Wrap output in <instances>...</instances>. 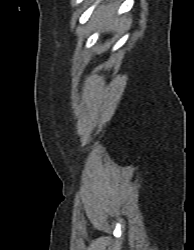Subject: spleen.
I'll return each mask as SVG.
<instances>
[{
    "instance_id": "1",
    "label": "spleen",
    "mask_w": 194,
    "mask_h": 250,
    "mask_svg": "<svg viewBox=\"0 0 194 250\" xmlns=\"http://www.w3.org/2000/svg\"><path fill=\"white\" fill-rule=\"evenodd\" d=\"M116 11V4L108 3L101 5L94 13L92 20L97 28L105 27L106 30H115L125 27L130 19L122 17L121 19L113 20Z\"/></svg>"
}]
</instances>
